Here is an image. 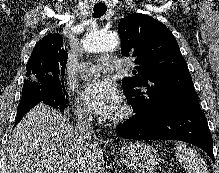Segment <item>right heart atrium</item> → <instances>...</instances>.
I'll return each instance as SVG.
<instances>
[{
    "mask_svg": "<svg viewBox=\"0 0 219 173\" xmlns=\"http://www.w3.org/2000/svg\"><path fill=\"white\" fill-rule=\"evenodd\" d=\"M73 106L74 111L80 120L85 122L92 120L91 112L80 101L74 100Z\"/></svg>",
    "mask_w": 219,
    "mask_h": 173,
    "instance_id": "right-heart-atrium-1",
    "label": "right heart atrium"
}]
</instances>
